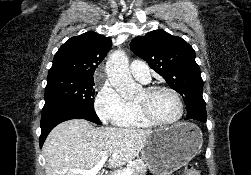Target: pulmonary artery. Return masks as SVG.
I'll list each match as a JSON object with an SVG mask.
<instances>
[{"label": "pulmonary artery", "mask_w": 251, "mask_h": 175, "mask_svg": "<svg viewBox=\"0 0 251 175\" xmlns=\"http://www.w3.org/2000/svg\"><path fill=\"white\" fill-rule=\"evenodd\" d=\"M130 71L132 76L142 83H148L151 80L150 69L147 62H132Z\"/></svg>", "instance_id": "pulmonary-artery-1"}]
</instances>
